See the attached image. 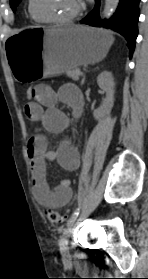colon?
Masks as SVG:
<instances>
[{
    "mask_svg": "<svg viewBox=\"0 0 148 279\" xmlns=\"http://www.w3.org/2000/svg\"><path fill=\"white\" fill-rule=\"evenodd\" d=\"M25 96L28 102L33 101L36 97L35 87H28L25 91ZM45 215L51 223H55V224L63 223L66 219V216H64L59 211L54 210L52 208H48L45 211Z\"/></svg>",
    "mask_w": 148,
    "mask_h": 279,
    "instance_id": "obj_1",
    "label": "colon"
}]
</instances>
